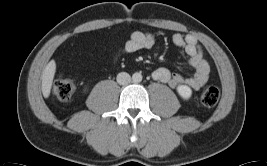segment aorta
<instances>
[{"label":"aorta","mask_w":267,"mask_h":166,"mask_svg":"<svg viewBox=\"0 0 267 166\" xmlns=\"http://www.w3.org/2000/svg\"><path fill=\"white\" fill-rule=\"evenodd\" d=\"M142 75H141V73H138V72H136V73H134L133 75H132V80H133V82H135V83H138V82H141L142 81Z\"/></svg>","instance_id":"obj_1"}]
</instances>
